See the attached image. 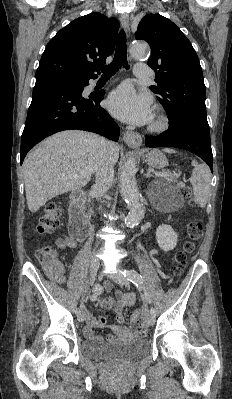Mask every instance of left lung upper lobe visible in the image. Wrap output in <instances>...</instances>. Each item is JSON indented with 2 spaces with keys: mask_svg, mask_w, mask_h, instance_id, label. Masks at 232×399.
Here are the masks:
<instances>
[{
  "mask_svg": "<svg viewBox=\"0 0 232 399\" xmlns=\"http://www.w3.org/2000/svg\"><path fill=\"white\" fill-rule=\"evenodd\" d=\"M151 47L147 64L154 69L157 93L171 127H185L210 138L206 118V88L198 56L190 41L169 19L159 14L142 18L135 33Z\"/></svg>",
  "mask_w": 232,
  "mask_h": 399,
  "instance_id": "1",
  "label": "left lung upper lobe"
}]
</instances>
